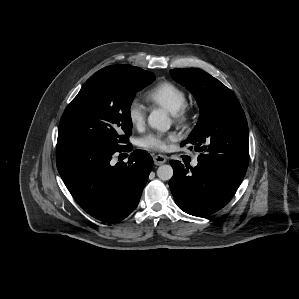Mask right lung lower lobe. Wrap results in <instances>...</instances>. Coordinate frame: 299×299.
<instances>
[{
  "mask_svg": "<svg viewBox=\"0 0 299 299\" xmlns=\"http://www.w3.org/2000/svg\"><path fill=\"white\" fill-rule=\"evenodd\" d=\"M131 149V144L117 151L57 144L59 174L75 201L94 218L118 222L137 207L153 167L152 157L145 150H135L128 163L111 164L113 155Z\"/></svg>",
  "mask_w": 299,
  "mask_h": 299,
  "instance_id": "right-lung-lower-lobe-1",
  "label": "right lung lower lobe"
}]
</instances>
